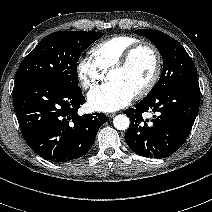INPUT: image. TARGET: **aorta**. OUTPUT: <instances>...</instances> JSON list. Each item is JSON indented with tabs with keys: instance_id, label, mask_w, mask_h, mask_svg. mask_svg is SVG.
I'll return each instance as SVG.
<instances>
[{
	"instance_id": "obj_1",
	"label": "aorta",
	"mask_w": 212,
	"mask_h": 212,
	"mask_svg": "<svg viewBox=\"0 0 212 212\" xmlns=\"http://www.w3.org/2000/svg\"><path fill=\"white\" fill-rule=\"evenodd\" d=\"M113 124L117 130H126L129 128L130 120L126 115L120 114L113 119Z\"/></svg>"
}]
</instances>
